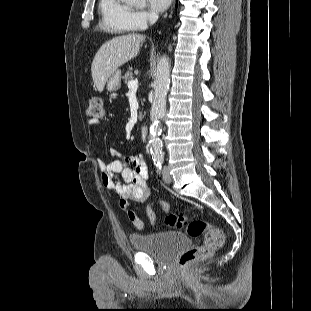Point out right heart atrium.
<instances>
[{
    "instance_id": "right-heart-atrium-1",
    "label": "right heart atrium",
    "mask_w": 311,
    "mask_h": 311,
    "mask_svg": "<svg viewBox=\"0 0 311 311\" xmlns=\"http://www.w3.org/2000/svg\"><path fill=\"white\" fill-rule=\"evenodd\" d=\"M155 20V15L146 10L131 11L130 21L134 30H143Z\"/></svg>"
}]
</instances>
